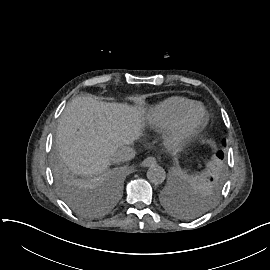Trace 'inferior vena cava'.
Masks as SVG:
<instances>
[{
  "label": "inferior vena cava",
  "instance_id": "602c4592",
  "mask_svg": "<svg viewBox=\"0 0 270 270\" xmlns=\"http://www.w3.org/2000/svg\"><path fill=\"white\" fill-rule=\"evenodd\" d=\"M135 150L129 146L120 147L113 155L115 163L126 162L135 157Z\"/></svg>",
  "mask_w": 270,
  "mask_h": 270
}]
</instances>
